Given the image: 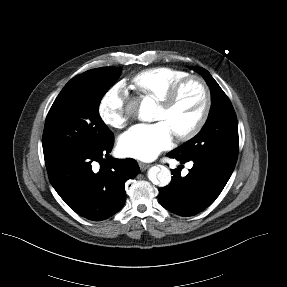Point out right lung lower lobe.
I'll return each instance as SVG.
<instances>
[{
    "mask_svg": "<svg viewBox=\"0 0 287 287\" xmlns=\"http://www.w3.org/2000/svg\"><path fill=\"white\" fill-rule=\"evenodd\" d=\"M113 145L111 137L101 146L45 161L49 180L59 196L89 220H105L118 212L126 200L125 182L139 173L136 160L108 157ZM104 156L108 157L106 162ZM94 161L101 164L98 172L92 170Z\"/></svg>",
    "mask_w": 287,
    "mask_h": 287,
    "instance_id": "1",
    "label": "right lung lower lobe"
}]
</instances>
